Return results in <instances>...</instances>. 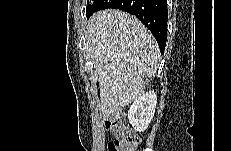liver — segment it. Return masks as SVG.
Returning a JSON list of instances; mask_svg holds the SVG:
<instances>
[{"label":"liver","instance_id":"obj_1","mask_svg":"<svg viewBox=\"0 0 231 151\" xmlns=\"http://www.w3.org/2000/svg\"><path fill=\"white\" fill-rule=\"evenodd\" d=\"M85 37L98 73L101 112L108 117L144 93L159 66V47L135 16L115 9L93 14Z\"/></svg>","mask_w":231,"mask_h":151}]
</instances>
